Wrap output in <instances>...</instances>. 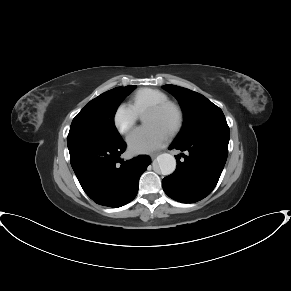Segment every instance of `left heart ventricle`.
I'll list each match as a JSON object with an SVG mask.
<instances>
[{
  "mask_svg": "<svg viewBox=\"0 0 291 291\" xmlns=\"http://www.w3.org/2000/svg\"><path fill=\"white\" fill-rule=\"evenodd\" d=\"M172 113L166 111L163 113L147 111L143 114L142 120L145 124H154L165 130H169V127L172 123Z\"/></svg>",
  "mask_w": 291,
  "mask_h": 291,
  "instance_id": "b2bd125f",
  "label": "left heart ventricle"
}]
</instances>
